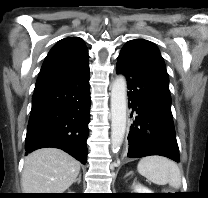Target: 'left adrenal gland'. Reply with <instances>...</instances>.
Instances as JSON below:
<instances>
[{
    "mask_svg": "<svg viewBox=\"0 0 208 198\" xmlns=\"http://www.w3.org/2000/svg\"><path fill=\"white\" fill-rule=\"evenodd\" d=\"M131 174H133L132 171H130L129 173H127V174L125 175V177H127V176H129V175H131Z\"/></svg>",
    "mask_w": 208,
    "mask_h": 198,
    "instance_id": "a2214340",
    "label": "left adrenal gland"
}]
</instances>
